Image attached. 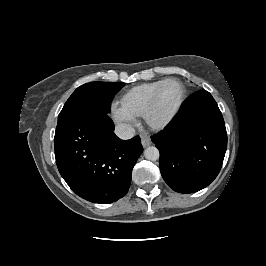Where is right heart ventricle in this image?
<instances>
[{
    "label": "right heart ventricle",
    "mask_w": 266,
    "mask_h": 266,
    "mask_svg": "<svg viewBox=\"0 0 266 266\" xmlns=\"http://www.w3.org/2000/svg\"><path fill=\"white\" fill-rule=\"evenodd\" d=\"M165 79L144 83L128 90L121 99V105L134 116L142 117L155 90Z\"/></svg>",
    "instance_id": "e07e8e85"
}]
</instances>
